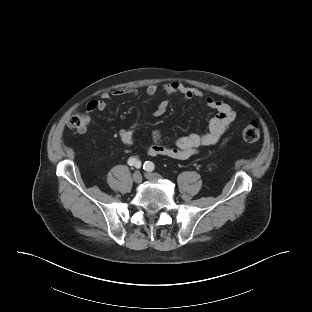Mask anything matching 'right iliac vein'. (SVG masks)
Masks as SVG:
<instances>
[{"mask_svg": "<svg viewBox=\"0 0 312 312\" xmlns=\"http://www.w3.org/2000/svg\"><path fill=\"white\" fill-rule=\"evenodd\" d=\"M133 181L137 184L141 183L142 182V175L140 172L136 171L134 174H133Z\"/></svg>", "mask_w": 312, "mask_h": 312, "instance_id": "1", "label": "right iliac vein"}]
</instances>
